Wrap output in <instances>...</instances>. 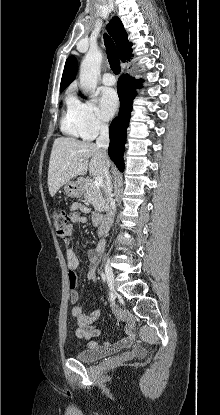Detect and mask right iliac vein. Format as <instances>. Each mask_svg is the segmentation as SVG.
<instances>
[{"label":"right iliac vein","instance_id":"obj_1","mask_svg":"<svg viewBox=\"0 0 220 415\" xmlns=\"http://www.w3.org/2000/svg\"><path fill=\"white\" fill-rule=\"evenodd\" d=\"M104 272L105 276L107 278L108 285L110 287V290L112 291L113 295L116 296L117 293L115 291V280H114V273L108 262L104 265Z\"/></svg>","mask_w":220,"mask_h":415}]
</instances>
